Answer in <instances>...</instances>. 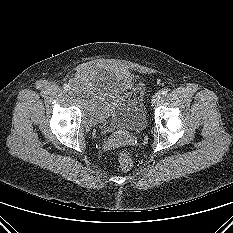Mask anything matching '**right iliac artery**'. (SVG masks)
I'll return each instance as SVG.
<instances>
[{"instance_id":"obj_1","label":"right iliac artery","mask_w":233,"mask_h":233,"mask_svg":"<svg viewBox=\"0 0 233 233\" xmlns=\"http://www.w3.org/2000/svg\"><path fill=\"white\" fill-rule=\"evenodd\" d=\"M63 88H64V90L68 91V90L70 89V86L67 85V84H65V85L63 86Z\"/></svg>"}]
</instances>
